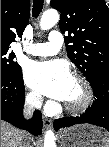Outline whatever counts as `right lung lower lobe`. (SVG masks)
<instances>
[{
	"label": "right lung lower lobe",
	"mask_w": 109,
	"mask_h": 147,
	"mask_svg": "<svg viewBox=\"0 0 109 147\" xmlns=\"http://www.w3.org/2000/svg\"><path fill=\"white\" fill-rule=\"evenodd\" d=\"M24 98L21 70L8 75L1 73V119L33 135H39L42 131L41 113L36 110L33 118L25 121L22 117Z\"/></svg>",
	"instance_id": "1"
}]
</instances>
